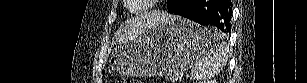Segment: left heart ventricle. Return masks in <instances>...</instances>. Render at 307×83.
<instances>
[{"label":"left heart ventricle","mask_w":307,"mask_h":83,"mask_svg":"<svg viewBox=\"0 0 307 83\" xmlns=\"http://www.w3.org/2000/svg\"><path fill=\"white\" fill-rule=\"evenodd\" d=\"M139 7H140V5H136V4L131 5V8H133V9H138Z\"/></svg>","instance_id":"obj_1"}]
</instances>
